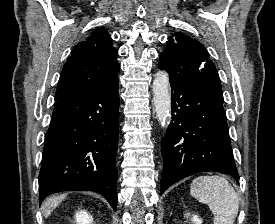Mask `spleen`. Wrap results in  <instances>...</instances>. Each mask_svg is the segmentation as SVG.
Segmentation results:
<instances>
[{
    "instance_id": "obj_1",
    "label": "spleen",
    "mask_w": 275,
    "mask_h": 224,
    "mask_svg": "<svg viewBox=\"0 0 275 224\" xmlns=\"http://www.w3.org/2000/svg\"><path fill=\"white\" fill-rule=\"evenodd\" d=\"M191 195L209 206L214 224H234L239 209V198L233 186L220 176L196 177L190 188Z\"/></svg>"
}]
</instances>
